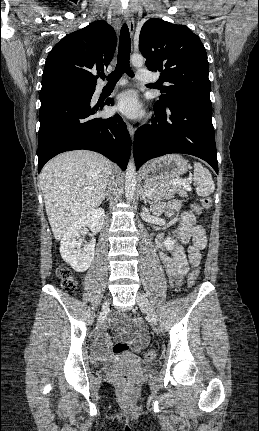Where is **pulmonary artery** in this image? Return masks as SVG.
I'll use <instances>...</instances> for the list:
<instances>
[{"label": "pulmonary artery", "mask_w": 259, "mask_h": 431, "mask_svg": "<svg viewBox=\"0 0 259 431\" xmlns=\"http://www.w3.org/2000/svg\"><path fill=\"white\" fill-rule=\"evenodd\" d=\"M137 76L138 79L142 82H153L156 80V77L151 72L145 69H140ZM125 83V80H122L118 83V85H124Z\"/></svg>", "instance_id": "pulmonary-artery-1"}]
</instances>
